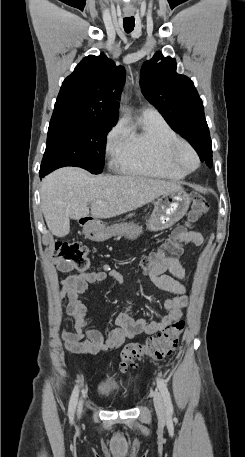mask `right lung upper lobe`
<instances>
[{
  "instance_id": "cb5924a9",
  "label": "right lung upper lobe",
  "mask_w": 245,
  "mask_h": 457,
  "mask_svg": "<svg viewBox=\"0 0 245 457\" xmlns=\"http://www.w3.org/2000/svg\"><path fill=\"white\" fill-rule=\"evenodd\" d=\"M125 82L123 66L106 55H89L62 83L53 114L73 113L118 120V107Z\"/></svg>"
}]
</instances>
